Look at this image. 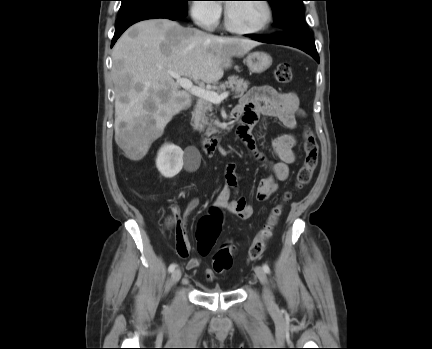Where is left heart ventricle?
Listing matches in <instances>:
<instances>
[{
    "instance_id": "left-heart-ventricle-1",
    "label": "left heart ventricle",
    "mask_w": 432,
    "mask_h": 349,
    "mask_svg": "<svg viewBox=\"0 0 432 349\" xmlns=\"http://www.w3.org/2000/svg\"><path fill=\"white\" fill-rule=\"evenodd\" d=\"M231 22L241 29H254L261 26L267 16L262 2H233L227 4Z\"/></svg>"
}]
</instances>
